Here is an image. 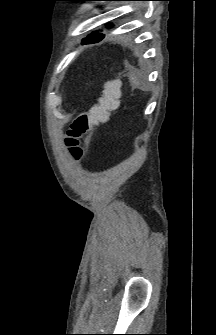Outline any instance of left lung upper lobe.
Listing matches in <instances>:
<instances>
[{
  "label": "left lung upper lobe",
  "instance_id": "left-lung-upper-lobe-1",
  "mask_svg": "<svg viewBox=\"0 0 216 335\" xmlns=\"http://www.w3.org/2000/svg\"><path fill=\"white\" fill-rule=\"evenodd\" d=\"M102 34L101 33H97V32H93L90 35H88V37L86 39H83L84 41H90V40H95L98 37H101Z\"/></svg>",
  "mask_w": 216,
  "mask_h": 335
}]
</instances>
